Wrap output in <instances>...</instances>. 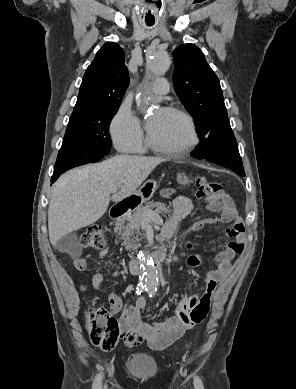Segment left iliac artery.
Wrapping results in <instances>:
<instances>
[{
  "label": "left iliac artery",
  "mask_w": 296,
  "mask_h": 389,
  "mask_svg": "<svg viewBox=\"0 0 296 389\" xmlns=\"http://www.w3.org/2000/svg\"><path fill=\"white\" fill-rule=\"evenodd\" d=\"M194 381L197 389H204L201 379L198 376L194 378Z\"/></svg>",
  "instance_id": "left-iliac-artery-1"
}]
</instances>
